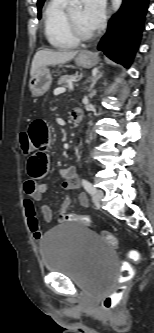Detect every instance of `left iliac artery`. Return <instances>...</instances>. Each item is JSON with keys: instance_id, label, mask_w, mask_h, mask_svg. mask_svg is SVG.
Here are the masks:
<instances>
[{"instance_id": "1", "label": "left iliac artery", "mask_w": 154, "mask_h": 333, "mask_svg": "<svg viewBox=\"0 0 154 333\" xmlns=\"http://www.w3.org/2000/svg\"><path fill=\"white\" fill-rule=\"evenodd\" d=\"M81 182L88 193L93 194L95 192V187L88 180L82 179Z\"/></svg>"}]
</instances>
